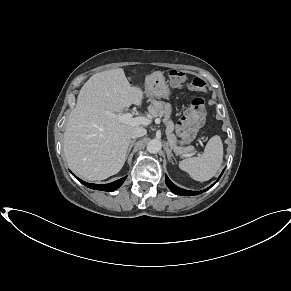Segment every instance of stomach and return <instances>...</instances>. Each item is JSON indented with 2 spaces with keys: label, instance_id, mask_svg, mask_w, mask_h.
Segmentation results:
<instances>
[{
  "label": "stomach",
  "instance_id": "1",
  "mask_svg": "<svg viewBox=\"0 0 291 291\" xmlns=\"http://www.w3.org/2000/svg\"><path fill=\"white\" fill-rule=\"evenodd\" d=\"M145 94L150 98H168L170 89L161 72H154L145 79Z\"/></svg>",
  "mask_w": 291,
  "mask_h": 291
}]
</instances>
